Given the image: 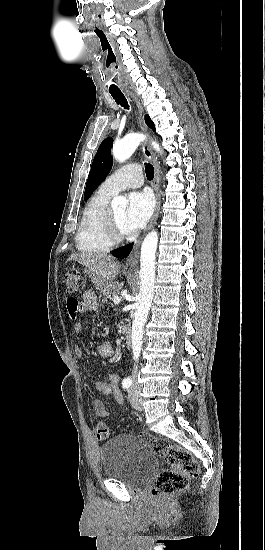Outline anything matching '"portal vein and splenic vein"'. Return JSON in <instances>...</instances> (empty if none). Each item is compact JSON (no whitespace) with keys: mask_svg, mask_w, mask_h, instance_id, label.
I'll list each match as a JSON object with an SVG mask.
<instances>
[{"mask_svg":"<svg viewBox=\"0 0 265 550\" xmlns=\"http://www.w3.org/2000/svg\"><path fill=\"white\" fill-rule=\"evenodd\" d=\"M113 302H114V304H119L121 302V298L119 296H114L113 297Z\"/></svg>","mask_w":265,"mask_h":550,"instance_id":"1","label":"portal vein and splenic vein"}]
</instances>
